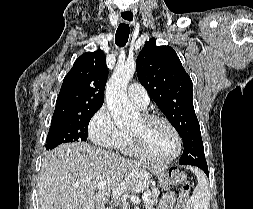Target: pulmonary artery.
I'll use <instances>...</instances> for the list:
<instances>
[{
	"label": "pulmonary artery",
	"instance_id": "e3ab8cb5",
	"mask_svg": "<svg viewBox=\"0 0 253 209\" xmlns=\"http://www.w3.org/2000/svg\"><path fill=\"white\" fill-rule=\"evenodd\" d=\"M129 99L138 105L140 108L145 109L149 104V95L146 89L139 83H132L129 85L128 90Z\"/></svg>",
	"mask_w": 253,
	"mask_h": 209
}]
</instances>
